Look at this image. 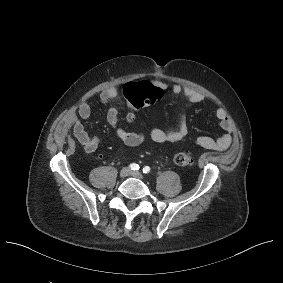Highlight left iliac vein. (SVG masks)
<instances>
[{
  "mask_svg": "<svg viewBox=\"0 0 283 283\" xmlns=\"http://www.w3.org/2000/svg\"><path fill=\"white\" fill-rule=\"evenodd\" d=\"M130 175H132L133 177L138 178V179H144V176L138 171H132L130 173Z\"/></svg>",
  "mask_w": 283,
  "mask_h": 283,
  "instance_id": "1",
  "label": "left iliac vein"
}]
</instances>
